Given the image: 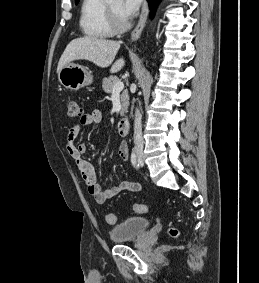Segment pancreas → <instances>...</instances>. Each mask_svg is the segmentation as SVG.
Wrapping results in <instances>:
<instances>
[{
	"instance_id": "cf45deb5",
	"label": "pancreas",
	"mask_w": 259,
	"mask_h": 283,
	"mask_svg": "<svg viewBox=\"0 0 259 283\" xmlns=\"http://www.w3.org/2000/svg\"><path fill=\"white\" fill-rule=\"evenodd\" d=\"M119 81H120V79L116 76H110L108 78H104L103 81H102V88H103L104 92L107 93V94H112L114 85ZM120 98H121V103H122L120 115L124 116V114L128 111V106H129L128 90H124L121 93Z\"/></svg>"
}]
</instances>
